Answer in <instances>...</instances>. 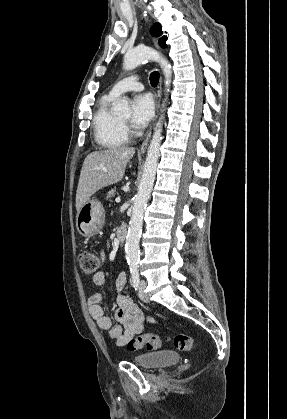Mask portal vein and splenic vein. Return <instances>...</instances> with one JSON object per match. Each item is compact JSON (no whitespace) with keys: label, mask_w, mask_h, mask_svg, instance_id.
I'll return each instance as SVG.
<instances>
[{"label":"portal vein and splenic vein","mask_w":287,"mask_h":419,"mask_svg":"<svg viewBox=\"0 0 287 419\" xmlns=\"http://www.w3.org/2000/svg\"><path fill=\"white\" fill-rule=\"evenodd\" d=\"M115 201H116L117 203H119V202L121 201L120 197H117V198L115 199Z\"/></svg>","instance_id":"portal-vein-and-splenic-vein-1"}]
</instances>
